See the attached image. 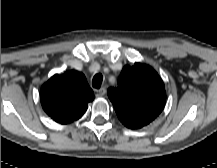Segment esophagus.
<instances>
[{
  "mask_svg": "<svg viewBox=\"0 0 217 168\" xmlns=\"http://www.w3.org/2000/svg\"><path fill=\"white\" fill-rule=\"evenodd\" d=\"M106 94V89L104 88V87H102V88H100V89H98L97 91H96V96L97 97H102V96H104Z\"/></svg>",
  "mask_w": 217,
  "mask_h": 168,
  "instance_id": "1",
  "label": "esophagus"
}]
</instances>
